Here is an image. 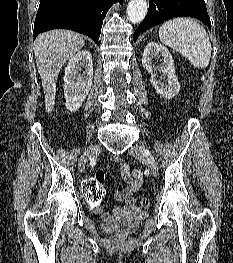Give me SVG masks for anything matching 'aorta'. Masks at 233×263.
<instances>
[{"label": "aorta", "mask_w": 233, "mask_h": 263, "mask_svg": "<svg viewBox=\"0 0 233 263\" xmlns=\"http://www.w3.org/2000/svg\"><path fill=\"white\" fill-rule=\"evenodd\" d=\"M147 3L145 0H130L127 7V18L133 23H140L147 14Z\"/></svg>", "instance_id": "obj_1"}]
</instances>
